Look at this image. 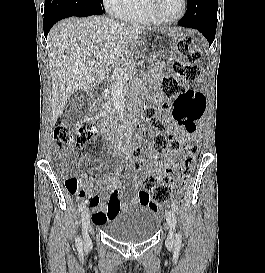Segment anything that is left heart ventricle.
I'll return each mask as SVG.
<instances>
[{
  "label": "left heart ventricle",
  "instance_id": "left-heart-ventricle-1",
  "mask_svg": "<svg viewBox=\"0 0 265 273\" xmlns=\"http://www.w3.org/2000/svg\"><path fill=\"white\" fill-rule=\"evenodd\" d=\"M159 14L166 19H174L182 11V0H158Z\"/></svg>",
  "mask_w": 265,
  "mask_h": 273
}]
</instances>
